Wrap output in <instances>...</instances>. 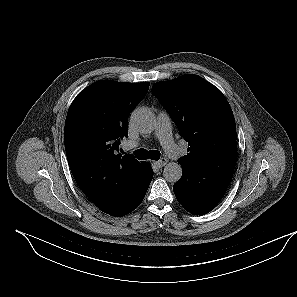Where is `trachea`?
Listing matches in <instances>:
<instances>
[{
  "label": "trachea",
  "instance_id": "1",
  "mask_svg": "<svg viewBox=\"0 0 297 297\" xmlns=\"http://www.w3.org/2000/svg\"><path fill=\"white\" fill-rule=\"evenodd\" d=\"M135 155L139 160H159L161 154L157 150L147 151L146 149H138L136 150Z\"/></svg>",
  "mask_w": 297,
  "mask_h": 297
}]
</instances>
